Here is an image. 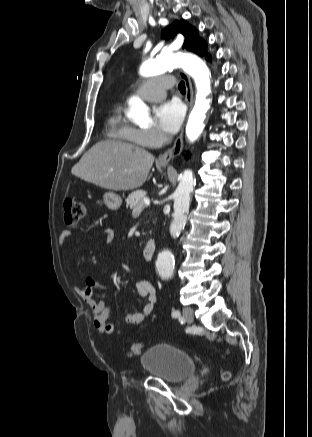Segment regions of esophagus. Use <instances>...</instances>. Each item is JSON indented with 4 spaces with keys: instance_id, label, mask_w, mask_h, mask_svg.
Returning a JSON list of instances; mask_svg holds the SVG:
<instances>
[{
    "instance_id": "esophagus-1",
    "label": "esophagus",
    "mask_w": 312,
    "mask_h": 437,
    "mask_svg": "<svg viewBox=\"0 0 312 437\" xmlns=\"http://www.w3.org/2000/svg\"><path fill=\"white\" fill-rule=\"evenodd\" d=\"M179 75L183 79V81L185 82V86H186L185 99H186L187 105H188L189 110H190L192 105H193L192 83H191L190 77L185 72L180 71ZM183 133H184V129L182 128L180 135L175 140L172 148H170L165 153H163L162 155L159 156V158L157 160V162L159 164H161V165L168 164L172 159H174L175 157H177L181 153L182 146H183Z\"/></svg>"
}]
</instances>
